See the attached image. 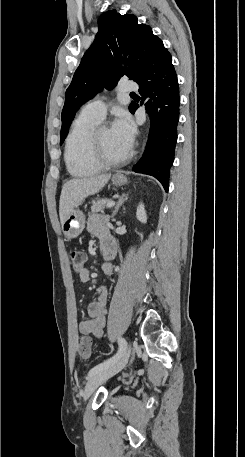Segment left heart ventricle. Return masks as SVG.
Instances as JSON below:
<instances>
[{
    "label": "left heart ventricle",
    "instance_id": "obj_1",
    "mask_svg": "<svg viewBox=\"0 0 245 457\" xmlns=\"http://www.w3.org/2000/svg\"><path fill=\"white\" fill-rule=\"evenodd\" d=\"M127 150L128 148L121 143L110 128H104L99 131L93 146L94 156L99 159L105 157H119Z\"/></svg>",
    "mask_w": 245,
    "mask_h": 457
}]
</instances>
